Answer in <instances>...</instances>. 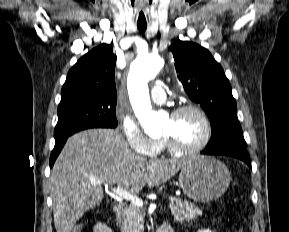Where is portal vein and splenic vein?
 Listing matches in <instances>:
<instances>
[{"label":"portal vein and splenic vein","instance_id":"18ae733b","mask_svg":"<svg viewBox=\"0 0 289 232\" xmlns=\"http://www.w3.org/2000/svg\"><path fill=\"white\" fill-rule=\"evenodd\" d=\"M94 185H96V183H93ZM112 192L119 196L122 199H125L127 201H130L133 205L138 206V207H142L143 206V201L138 198L136 195L128 192L127 190L123 189L121 186H117L114 188H111ZM170 202H177L178 199L175 197H169Z\"/></svg>","mask_w":289,"mask_h":232}]
</instances>
